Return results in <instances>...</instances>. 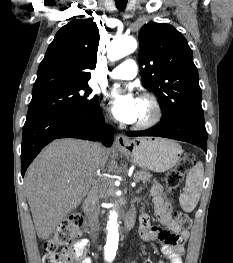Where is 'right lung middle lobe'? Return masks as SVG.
I'll use <instances>...</instances> for the list:
<instances>
[{"label": "right lung middle lobe", "mask_w": 233, "mask_h": 263, "mask_svg": "<svg viewBox=\"0 0 233 263\" xmlns=\"http://www.w3.org/2000/svg\"><path fill=\"white\" fill-rule=\"evenodd\" d=\"M88 84L54 90L33 95L29 104L26 121L54 114L82 111L97 104L98 97L91 98Z\"/></svg>", "instance_id": "dd1d6c3e"}]
</instances>
